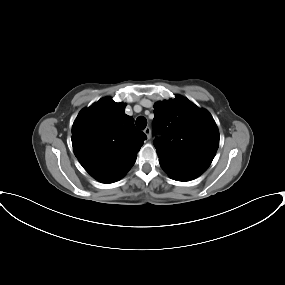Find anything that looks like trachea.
I'll return each mask as SVG.
<instances>
[{
	"instance_id": "3493384b",
	"label": "trachea",
	"mask_w": 285,
	"mask_h": 285,
	"mask_svg": "<svg viewBox=\"0 0 285 285\" xmlns=\"http://www.w3.org/2000/svg\"><path fill=\"white\" fill-rule=\"evenodd\" d=\"M136 126L138 129L143 130L147 126V120L145 117H138L136 119Z\"/></svg>"
}]
</instances>
